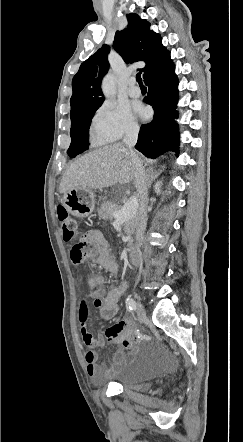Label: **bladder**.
<instances>
[{"mask_svg":"<svg viewBox=\"0 0 243 442\" xmlns=\"http://www.w3.org/2000/svg\"><path fill=\"white\" fill-rule=\"evenodd\" d=\"M155 369L153 361L141 353L130 355L116 368L111 382L137 392H148Z\"/></svg>","mask_w":243,"mask_h":442,"instance_id":"obj_1","label":"bladder"}]
</instances>
